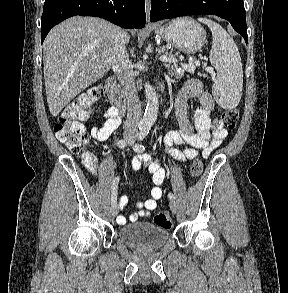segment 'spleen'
Listing matches in <instances>:
<instances>
[{"instance_id":"obj_1","label":"spleen","mask_w":288,"mask_h":293,"mask_svg":"<svg viewBox=\"0 0 288 293\" xmlns=\"http://www.w3.org/2000/svg\"><path fill=\"white\" fill-rule=\"evenodd\" d=\"M198 20L212 32L209 59L217 71L212 94L221 107L235 108L240 102L243 88V69L237 45L220 24L207 18Z\"/></svg>"}]
</instances>
